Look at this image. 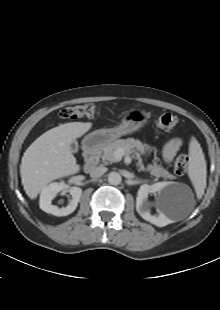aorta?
<instances>
[{
	"label": "aorta",
	"mask_w": 220,
	"mask_h": 310,
	"mask_svg": "<svg viewBox=\"0 0 220 310\" xmlns=\"http://www.w3.org/2000/svg\"><path fill=\"white\" fill-rule=\"evenodd\" d=\"M122 181L121 175L117 172H110L108 174V182L111 185H119Z\"/></svg>",
	"instance_id": "1"
}]
</instances>
